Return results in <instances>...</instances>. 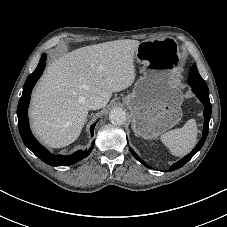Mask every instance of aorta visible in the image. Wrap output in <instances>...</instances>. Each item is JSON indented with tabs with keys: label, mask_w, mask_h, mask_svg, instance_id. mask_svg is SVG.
Wrapping results in <instances>:
<instances>
[{
	"label": "aorta",
	"mask_w": 227,
	"mask_h": 227,
	"mask_svg": "<svg viewBox=\"0 0 227 227\" xmlns=\"http://www.w3.org/2000/svg\"><path fill=\"white\" fill-rule=\"evenodd\" d=\"M109 119L113 124L121 125L127 119L126 112L120 107L113 108L109 113Z\"/></svg>",
	"instance_id": "762f6f07"
}]
</instances>
